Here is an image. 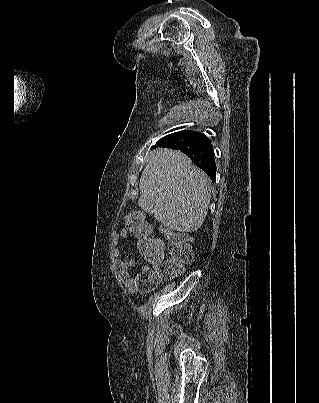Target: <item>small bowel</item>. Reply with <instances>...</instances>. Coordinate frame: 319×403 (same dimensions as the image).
<instances>
[{
  "mask_svg": "<svg viewBox=\"0 0 319 403\" xmlns=\"http://www.w3.org/2000/svg\"><path fill=\"white\" fill-rule=\"evenodd\" d=\"M130 234V231L124 230L122 231L121 235L123 237H128ZM136 265V260L133 256H129L126 259H120L116 258L114 260V270L115 272L119 275V277L126 283L128 289L131 292L136 291L137 289V276H132L129 273V270L133 268ZM151 268L148 265H143L142 266V272H146L150 270Z\"/></svg>",
  "mask_w": 319,
  "mask_h": 403,
  "instance_id": "obj_1",
  "label": "small bowel"
}]
</instances>
